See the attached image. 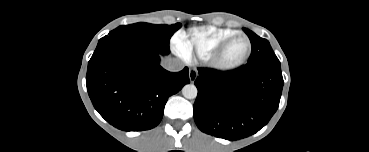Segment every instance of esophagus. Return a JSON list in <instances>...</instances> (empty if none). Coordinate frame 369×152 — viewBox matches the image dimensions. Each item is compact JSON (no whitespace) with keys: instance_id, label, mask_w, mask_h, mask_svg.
<instances>
[{"instance_id":"1","label":"esophagus","mask_w":369,"mask_h":152,"mask_svg":"<svg viewBox=\"0 0 369 152\" xmlns=\"http://www.w3.org/2000/svg\"><path fill=\"white\" fill-rule=\"evenodd\" d=\"M189 79L191 82H194L198 76V71L194 68L189 70Z\"/></svg>"}]
</instances>
